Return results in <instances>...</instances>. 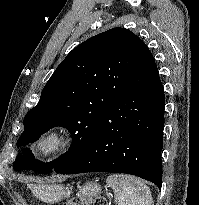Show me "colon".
<instances>
[{"label":"colon","instance_id":"1","mask_svg":"<svg viewBox=\"0 0 199 205\" xmlns=\"http://www.w3.org/2000/svg\"><path fill=\"white\" fill-rule=\"evenodd\" d=\"M65 205H86L80 199L74 198L66 202ZM92 205H107V201L104 198H97Z\"/></svg>","mask_w":199,"mask_h":205}]
</instances>
